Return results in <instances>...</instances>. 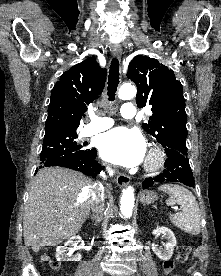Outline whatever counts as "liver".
Wrapping results in <instances>:
<instances>
[{
    "label": "liver",
    "mask_w": 221,
    "mask_h": 276,
    "mask_svg": "<svg viewBox=\"0 0 221 276\" xmlns=\"http://www.w3.org/2000/svg\"><path fill=\"white\" fill-rule=\"evenodd\" d=\"M97 183L70 169L47 167L31 183L23 217L26 246L38 252L76 235L91 209Z\"/></svg>",
    "instance_id": "1"
}]
</instances>
